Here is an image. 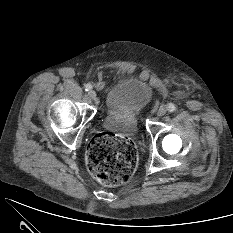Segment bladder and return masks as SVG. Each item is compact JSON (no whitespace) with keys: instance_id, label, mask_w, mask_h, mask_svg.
<instances>
[{"instance_id":"obj_1","label":"bladder","mask_w":233,"mask_h":233,"mask_svg":"<svg viewBox=\"0 0 233 233\" xmlns=\"http://www.w3.org/2000/svg\"><path fill=\"white\" fill-rule=\"evenodd\" d=\"M153 96V89L147 81L138 77H126L118 81L105 94L104 103L108 114L127 118L123 126L132 129L139 113Z\"/></svg>"}]
</instances>
